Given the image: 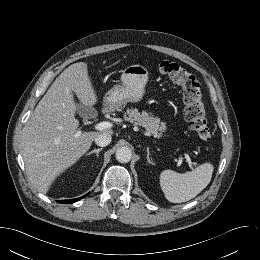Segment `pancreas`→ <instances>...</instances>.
I'll return each mask as SVG.
<instances>
[{"label": "pancreas", "instance_id": "cf45deb5", "mask_svg": "<svg viewBox=\"0 0 260 260\" xmlns=\"http://www.w3.org/2000/svg\"><path fill=\"white\" fill-rule=\"evenodd\" d=\"M126 121L142 126L146 131L152 134L154 137H160L161 133L166 129L165 123L161 122L160 119L151 113L138 109H128L124 115Z\"/></svg>", "mask_w": 260, "mask_h": 260}]
</instances>
